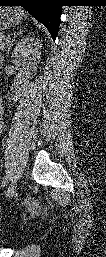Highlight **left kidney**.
Returning <instances> with one entry per match:
<instances>
[{
  "label": "left kidney",
  "mask_w": 106,
  "mask_h": 257,
  "mask_svg": "<svg viewBox=\"0 0 106 257\" xmlns=\"http://www.w3.org/2000/svg\"><path fill=\"white\" fill-rule=\"evenodd\" d=\"M41 47L40 40L35 37H26L15 46L11 57L12 62L19 67L20 76L30 78L36 71Z\"/></svg>",
  "instance_id": "1"
}]
</instances>
